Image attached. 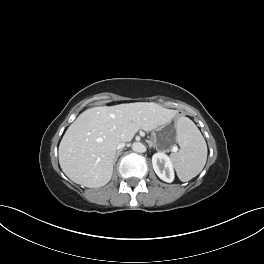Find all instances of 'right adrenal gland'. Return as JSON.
I'll return each instance as SVG.
<instances>
[{
	"instance_id": "2a0ac1e0",
	"label": "right adrenal gland",
	"mask_w": 264,
	"mask_h": 264,
	"mask_svg": "<svg viewBox=\"0 0 264 264\" xmlns=\"http://www.w3.org/2000/svg\"><path fill=\"white\" fill-rule=\"evenodd\" d=\"M120 152H121V150H118V151H117L114 163H116V161H117V159H118V157H119V155H120Z\"/></svg>"
}]
</instances>
